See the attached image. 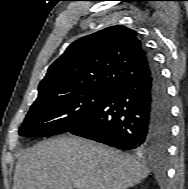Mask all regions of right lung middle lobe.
I'll list each match as a JSON object with an SVG mask.
<instances>
[{"instance_id": "dd1d6c3e", "label": "right lung middle lobe", "mask_w": 188, "mask_h": 189, "mask_svg": "<svg viewBox=\"0 0 188 189\" xmlns=\"http://www.w3.org/2000/svg\"><path fill=\"white\" fill-rule=\"evenodd\" d=\"M111 91L108 88H91L38 96L19 134L32 137L68 132L86 119Z\"/></svg>"}]
</instances>
